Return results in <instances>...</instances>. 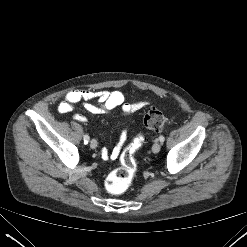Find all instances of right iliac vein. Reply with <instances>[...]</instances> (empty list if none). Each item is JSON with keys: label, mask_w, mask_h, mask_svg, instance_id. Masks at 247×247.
<instances>
[{"label": "right iliac vein", "mask_w": 247, "mask_h": 247, "mask_svg": "<svg viewBox=\"0 0 247 247\" xmlns=\"http://www.w3.org/2000/svg\"><path fill=\"white\" fill-rule=\"evenodd\" d=\"M97 141L95 140V139H92L91 141H90V147L92 148V149H95L96 147H97Z\"/></svg>", "instance_id": "right-iliac-vein-1"}]
</instances>
